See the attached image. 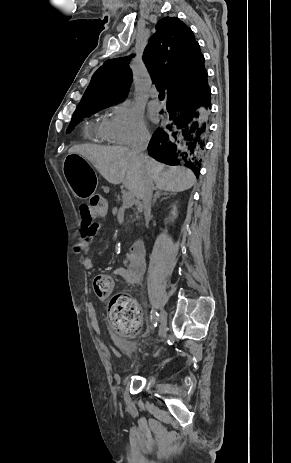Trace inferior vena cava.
I'll use <instances>...</instances> for the list:
<instances>
[{
    "label": "inferior vena cava",
    "mask_w": 291,
    "mask_h": 463,
    "mask_svg": "<svg viewBox=\"0 0 291 463\" xmlns=\"http://www.w3.org/2000/svg\"><path fill=\"white\" fill-rule=\"evenodd\" d=\"M150 140V135L148 133H143L139 139L131 147V153L137 157L140 162L147 163V156L144 154V151L147 148V145ZM152 190H153V181L149 174L146 175L143 187H142V204L143 211L146 222H148L150 213H151V199H152Z\"/></svg>",
    "instance_id": "inferior-vena-cava-1"
}]
</instances>
